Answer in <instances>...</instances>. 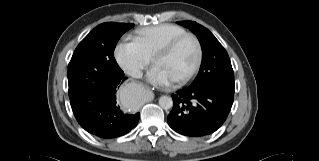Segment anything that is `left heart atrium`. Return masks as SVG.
I'll use <instances>...</instances> for the list:
<instances>
[{
	"mask_svg": "<svg viewBox=\"0 0 319 161\" xmlns=\"http://www.w3.org/2000/svg\"><path fill=\"white\" fill-rule=\"evenodd\" d=\"M148 79L155 85L165 86L171 83L168 75L158 66H154L148 73Z\"/></svg>",
	"mask_w": 319,
	"mask_h": 161,
	"instance_id": "obj_1",
	"label": "left heart atrium"
}]
</instances>
